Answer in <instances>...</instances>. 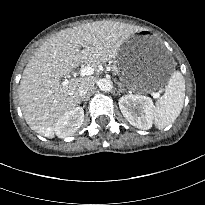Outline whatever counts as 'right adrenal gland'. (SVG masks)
Here are the masks:
<instances>
[{
    "instance_id": "2a0ac1e0",
    "label": "right adrenal gland",
    "mask_w": 205,
    "mask_h": 205,
    "mask_svg": "<svg viewBox=\"0 0 205 205\" xmlns=\"http://www.w3.org/2000/svg\"><path fill=\"white\" fill-rule=\"evenodd\" d=\"M84 100V97H81L78 101V103L80 104L82 101Z\"/></svg>"
}]
</instances>
